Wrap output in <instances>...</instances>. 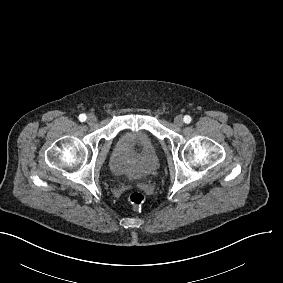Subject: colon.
Segmentation results:
<instances>
[{"instance_id": "obj_1", "label": "colon", "mask_w": 283, "mask_h": 283, "mask_svg": "<svg viewBox=\"0 0 283 283\" xmlns=\"http://www.w3.org/2000/svg\"><path fill=\"white\" fill-rule=\"evenodd\" d=\"M129 202L135 208H141L146 202V196L140 191H134L129 195Z\"/></svg>"}]
</instances>
